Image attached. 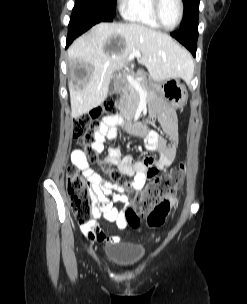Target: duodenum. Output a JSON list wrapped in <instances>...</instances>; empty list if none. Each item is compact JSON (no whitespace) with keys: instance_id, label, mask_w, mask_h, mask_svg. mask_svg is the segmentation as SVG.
I'll list each match as a JSON object with an SVG mask.
<instances>
[{"instance_id":"1","label":"duodenum","mask_w":247,"mask_h":304,"mask_svg":"<svg viewBox=\"0 0 247 304\" xmlns=\"http://www.w3.org/2000/svg\"><path fill=\"white\" fill-rule=\"evenodd\" d=\"M145 81H146V82H151V79H146ZM126 88H127V87H126ZM116 107H117V109L120 110V109H122L123 106H122V104L119 103V104H117ZM120 111H121V110H120ZM122 122H123V121H122ZM123 125H125V124H123Z\"/></svg>"}]
</instances>
